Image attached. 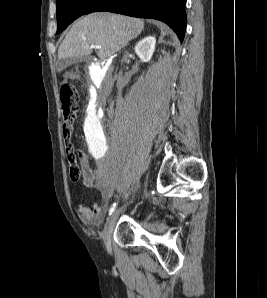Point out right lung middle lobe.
I'll list each match as a JSON object with an SVG mask.
<instances>
[{"label": "right lung middle lobe", "mask_w": 267, "mask_h": 298, "mask_svg": "<svg viewBox=\"0 0 267 298\" xmlns=\"http://www.w3.org/2000/svg\"><path fill=\"white\" fill-rule=\"evenodd\" d=\"M103 0H56L60 33L78 17L91 13Z\"/></svg>", "instance_id": "obj_1"}]
</instances>
